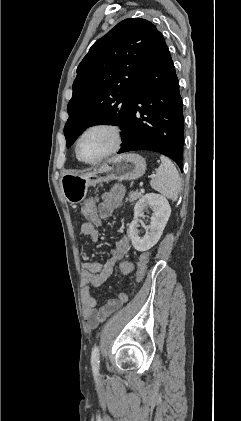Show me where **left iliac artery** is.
<instances>
[{
    "label": "left iliac artery",
    "instance_id": "44dca946",
    "mask_svg": "<svg viewBox=\"0 0 241 421\" xmlns=\"http://www.w3.org/2000/svg\"><path fill=\"white\" fill-rule=\"evenodd\" d=\"M99 359H100L99 347L95 346L91 354V365L95 371H98L99 369V363H100Z\"/></svg>",
    "mask_w": 241,
    "mask_h": 421
}]
</instances>
